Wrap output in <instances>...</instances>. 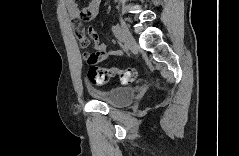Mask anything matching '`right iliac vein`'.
I'll return each mask as SVG.
<instances>
[{
  "label": "right iliac vein",
  "instance_id": "obj_1",
  "mask_svg": "<svg viewBox=\"0 0 239 156\" xmlns=\"http://www.w3.org/2000/svg\"><path fill=\"white\" fill-rule=\"evenodd\" d=\"M120 25H121V33L123 35L124 42H125V47H126V50L128 51L134 45L135 41H134V38L131 35L125 21L122 18H120Z\"/></svg>",
  "mask_w": 239,
  "mask_h": 156
}]
</instances>
